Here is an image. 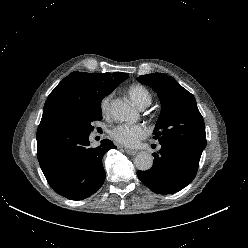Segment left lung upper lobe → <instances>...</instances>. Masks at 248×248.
Returning a JSON list of instances; mask_svg holds the SVG:
<instances>
[{
  "label": "left lung upper lobe",
  "instance_id": "5c2ea615",
  "mask_svg": "<svg viewBox=\"0 0 248 248\" xmlns=\"http://www.w3.org/2000/svg\"><path fill=\"white\" fill-rule=\"evenodd\" d=\"M138 81L154 89L161 100L162 110L153 138L161 145L179 146L200 159L206 147V134L194 96L166 74H146Z\"/></svg>",
  "mask_w": 248,
  "mask_h": 248
}]
</instances>
